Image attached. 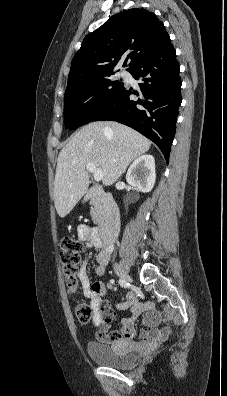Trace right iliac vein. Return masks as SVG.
Wrapping results in <instances>:
<instances>
[{"label": "right iliac vein", "mask_w": 227, "mask_h": 396, "mask_svg": "<svg viewBox=\"0 0 227 396\" xmlns=\"http://www.w3.org/2000/svg\"><path fill=\"white\" fill-rule=\"evenodd\" d=\"M114 269H115V272L117 273V275L121 279L125 280L126 282H132V279L129 275L128 267L124 263L116 264Z\"/></svg>", "instance_id": "right-iliac-vein-1"}]
</instances>
